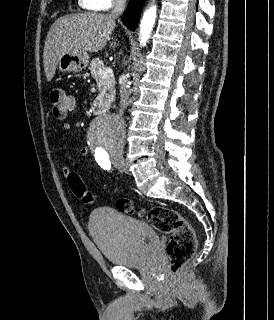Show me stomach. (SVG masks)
<instances>
[{
    "label": "stomach",
    "instance_id": "obj_1",
    "mask_svg": "<svg viewBox=\"0 0 274 320\" xmlns=\"http://www.w3.org/2000/svg\"><path fill=\"white\" fill-rule=\"evenodd\" d=\"M89 62V54H78V52H70V54H64L62 58H60L57 66L60 72H82L87 68Z\"/></svg>",
    "mask_w": 274,
    "mask_h": 320
}]
</instances>
